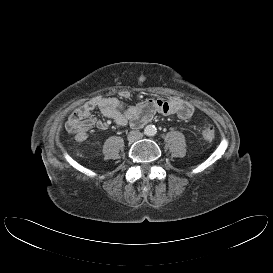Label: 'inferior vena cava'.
Masks as SVG:
<instances>
[{
  "label": "inferior vena cava",
  "instance_id": "inferior-vena-cava-1",
  "mask_svg": "<svg viewBox=\"0 0 273 273\" xmlns=\"http://www.w3.org/2000/svg\"><path fill=\"white\" fill-rule=\"evenodd\" d=\"M143 137V134L139 131H131L128 135L130 141L139 140Z\"/></svg>",
  "mask_w": 273,
  "mask_h": 273
}]
</instances>
